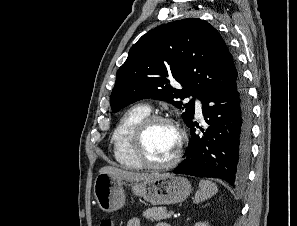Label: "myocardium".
<instances>
[{"instance_id": "obj_1", "label": "myocardium", "mask_w": 297, "mask_h": 226, "mask_svg": "<svg viewBox=\"0 0 297 226\" xmlns=\"http://www.w3.org/2000/svg\"><path fill=\"white\" fill-rule=\"evenodd\" d=\"M157 122H165L172 125L178 133V144L171 159L162 163H155L148 159L144 152L145 134L151 125ZM187 135L181 124L171 116L163 114H149L143 118L134 128L130 140V147L133 156L145 168L153 170H163L174 167L182 158Z\"/></svg>"}]
</instances>
